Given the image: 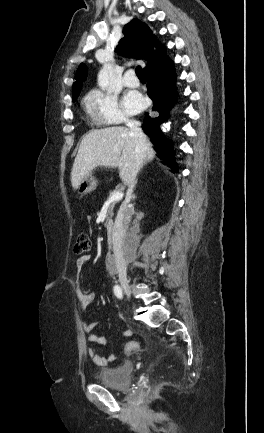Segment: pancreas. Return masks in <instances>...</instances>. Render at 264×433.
Returning <instances> with one entry per match:
<instances>
[{
	"mask_svg": "<svg viewBox=\"0 0 264 433\" xmlns=\"http://www.w3.org/2000/svg\"><path fill=\"white\" fill-rule=\"evenodd\" d=\"M117 191H119V189H116V190H114V191H110V192H109V197H111V196L113 195V193H115V192H117ZM115 204H116V202H113V203L110 205L109 210H108V214H109L111 217L113 216V210H114Z\"/></svg>",
	"mask_w": 264,
	"mask_h": 433,
	"instance_id": "cf45deb5",
	"label": "pancreas"
}]
</instances>
